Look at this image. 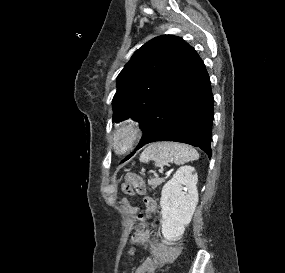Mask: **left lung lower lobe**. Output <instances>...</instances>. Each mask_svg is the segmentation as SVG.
<instances>
[{"label":"left lung lower lobe","mask_w":285,"mask_h":273,"mask_svg":"<svg viewBox=\"0 0 285 273\" xmlns=\"http://www.w3.org/2000/svg\"><path fill=\"white\" fill-rule=\"evenodd\" d=\"M213 103L209 75L191 48L176 82L140 121L143 137L136 149L155 141H176L195 145L211 158Z\"/></svg>","instance_id":"left-lung-lower-lobe-1"}]
</instances>
